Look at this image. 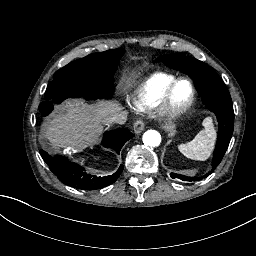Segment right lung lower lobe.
<instances>
[{"mask_svg":"<svg viewBox=\"0 0 256 256\" xmlns=\"http://www.w3.org/2000/svg\"><path fill=\"white\" fill-rule=\"evenodd\" d=\"M50 112L51 110L47 114ZM132 137L134 135L128 129H116L104 134L102 144L105 147L114 149L119 154L122 146ZM40 154L49 165L50 170L61 182L77 189L96 190L108 186L118 179L123 170V165H121L114 174L97 177L86 173L83 167L71 163L67 158H61L59 156L52 157L42 149L40 150Z\"/></svg>","mask_w":256,"mask_h":256,"instance_id":"right-lung-lower-lobe-1","label":"right lung lower lobe"}]
</instances>
